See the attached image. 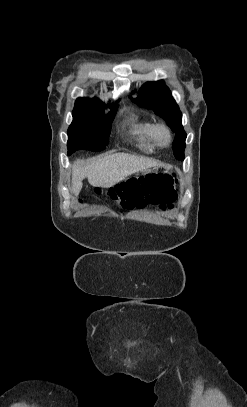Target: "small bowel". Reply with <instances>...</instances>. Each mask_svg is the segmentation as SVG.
I'll return each instance as SVG.
<instances>
[{"mask_svg":"<svg viewBox=\"0 0 247 407\" xmlns=\"http://www.w3.org/2000/svg\"><path fill=\"white\" fill-rule=\"evenodd\" d=\"M152 205H156L159 207V209L161 210H167V209H171L172 208V204L171 203H151ZM150 204H147L146 206H148ZM145 206V207H146ZM144 207V208H145Z\"/></svg>","mask_w":247,"mask_h":407,"instance_id":"small-bowel-1","label":"small bowel"}]
</instances>
